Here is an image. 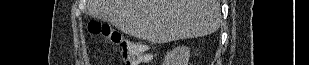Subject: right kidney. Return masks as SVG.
I'll use <instances>...</instances> for the list:
<instances>
[{
    "mask_svg": "<svg viewBox=\"0 0 309 65\" xmlns=\"http://www.w3.org/2000/svg\"><path fill=\"white\" fill-rule=\"evenodd\" d=\"M189 57L190 48L179 46L167 53L164 65H188Z\"/></svg>",
    "mask_w": 309,
    "mask_h": 65,
    "instance_id": "right-kidney-1",
    "label": "right kidney"
}]
</instances>
